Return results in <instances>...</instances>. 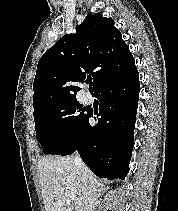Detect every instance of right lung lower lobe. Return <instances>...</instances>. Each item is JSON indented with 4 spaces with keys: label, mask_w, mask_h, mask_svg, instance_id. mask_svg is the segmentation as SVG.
<instances>
[{
    "label": "right lung lower lobe",
    "mask_w": 178,
    "mask_h": 211,
    "mask_svg": "<svg viewBox=\"0 0 178 211\" xmlns=\"http://www.w3.org/2000/svg\"><path fill=\"white\" fill-rule=\"evenodd\" d=\"M140 92L139 73L133 68L126 75L103 85L95 96L99 100L98 122L88 117L75 136L51 154L71 155L78 150L84 163L98 176L124 179L134 146V128Z\"/></svg>",
    "instance_id": "98d812e1"
}]
</instances>
